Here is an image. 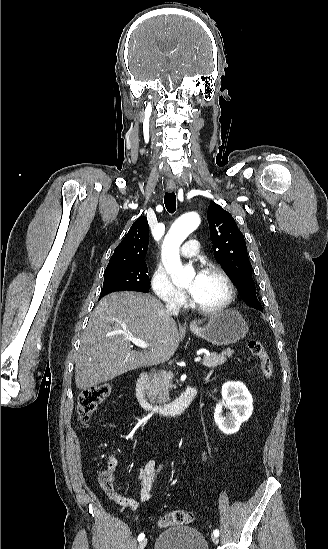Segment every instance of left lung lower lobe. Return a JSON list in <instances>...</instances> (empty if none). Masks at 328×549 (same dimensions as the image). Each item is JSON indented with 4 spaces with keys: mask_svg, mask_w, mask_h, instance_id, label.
<instances>
[{
    "mask_svg": "<svg viewBox=\"0 0 328 549\" xmlns=\"http://www.w3.org/2000/svg\"><path fill=\"white\" fill-rule=\"evenodd\" d=\"M251 307H252V308H255V309H257V310H260V311H262V312H263V308H262V306H261V304H260V303H258V304H255V305H252Z\"/></svg>",
    "mask_w": 328,
    "mask_h": 549,
    "instance_id": "obj_1",
    "label": "left lung lower lobe"
}]
</instances>
